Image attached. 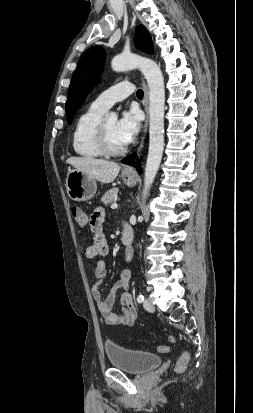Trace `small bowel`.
I'll list each match as a JSON object with an SVG mask.
<instances>
[{"instance_id": "c3829d8e", "label": "small bowel", "mask_w": 253, "mask_h": 413, "mask_svg": "<svg viewBox=\"0 0 253 413\" xmlns=\"http://www.w3.org/2000/svg\"><path fill=\"white\" fill-rule=\"evenodd\" d=\"M104 210L97 208L90 216L89 225L93 234V243L86 249V257L91 260L93 266V277L96 282L92 287V296L96 301L97 308L100 311L103 320L110 326L126 325L132 326L137 318V311L133 302V297L129 291V280L131 272L129 269H124L120 278L114 284L110 295L103 299L100 292V285L106 276V263L104 257L108 254L109 246L102 230L104 222ZM130 259V253H127V260ZM120 292V303L122 313L116 314L112 312L116 295Z\"/></svg>"}]
</instances>
